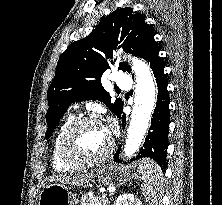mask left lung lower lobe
<instances>
[{
  "mask_svg": "<svg viewBox=\"0 0 222 205\" xmlns=\"http://www.w3.org/2000/svg\"><path fill=\"white\" fill-rule=\"evenodd\" d=\"M159 46L154 40V33L148 38L139 57L148 60L153 70L156 82L158 85L157 105L153 118L151 119L150 131L145 139L143 148L140 149L136 158L132 160H138L140 158L151 157L165 170L166 152L168 148V129L170 123V110H169V95L167 91L168 79L164 74V62L159 57ZM122 111L118 115L120 118ZM123 127H125V114L122 115ZM119 147L115 154L114 160L119 161Z\"/></svg>",
  "mask_w": 222,
  "mask_h": 205,
  "instance_id": "1",
  "label": "left lung lower lobe"
}]
</instances>
